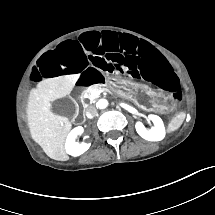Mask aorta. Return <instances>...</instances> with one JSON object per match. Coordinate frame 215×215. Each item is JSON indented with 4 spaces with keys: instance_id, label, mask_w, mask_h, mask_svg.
Returning a JSON list of instances; mask_svg holds the SVG:
<instances>
[{
    "instance_id": "1",
    "label": "aorta",
    "mask_w": 215,
    "mask_h": 215,
    "mask_svg": "<svg viewBox=\"0 0 215 215\" xmlns=\"http://www.w3.org/2000/svg\"><path fill=\"white\" fill-rule=\"evenodd\" d=\"M108 106H109V100H107L105 98L99 99L98 102H97V107L99 109H105Z\"/></svg>"
}]
</instances>
